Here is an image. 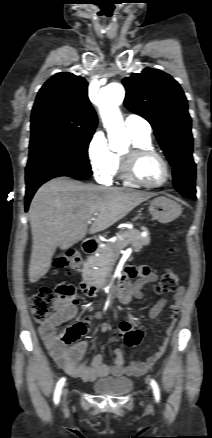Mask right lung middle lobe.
<instances>
[{
  "mask_svg": "<svg viewBox=\"0 0 212 438\" xmlns=\"http://www.w3.org/2000/svg\"><path fill=\"white\" fill-rule=\"evenodd\" d=\"M93 132L63 128H42L32 131L26 168L75 166L91 169L88 145Z\"/></svg>",
  "mask_w": 212,
  "mask_h": 438,
  "instance_id": "obj_1",
  "label": "right lung middle lobe"
}]
</instances>
